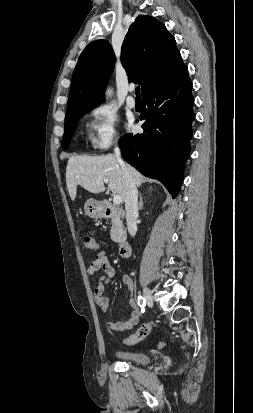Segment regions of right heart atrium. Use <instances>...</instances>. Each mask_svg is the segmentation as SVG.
I'll list each match as a JSON object with an SVG mask.
<instances>
[{
	"mask_svg": "<svg viewBox=\"0 0 253 413\" xmlns=\"http://www.w3.org/2000/svg\"><path fill=\"white\" fill-rule=\"evenodd\" d=\"M91 144L99 151L108 150L120 140L118 117L109 106H97L90 112Z\"/></svg>",
	"mask_w": 253,
	"mask_h": 413,
	"instance_id": "obj_1",
	"label": "right heart atrium"
}]
</instances>
